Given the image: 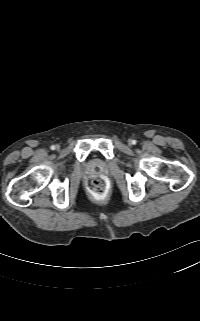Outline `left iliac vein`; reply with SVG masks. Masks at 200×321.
Instances as JSON below:
<instances>
[{
    "instance_id": "obj_1",
    "label": "left iliac vein",
    "mask_w": 200,
    "mask_h": 321,
    "mask_svg": "<svg viewBox=\"0 0 200 321\" xmlns=\"http://www.w3.org/2000/svg\"><path fill=\"white\" fill-rule=\"evenodd\" d=\"M128 143H129V144H132V141H131V140H129V141H128Z\"/></svg>"
}]
</instances>
